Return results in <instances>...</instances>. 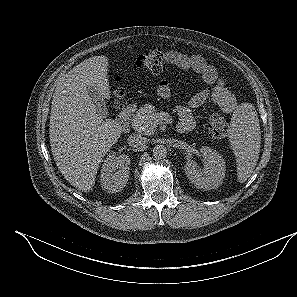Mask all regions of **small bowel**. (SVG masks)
Instances as JSON below:
<instances>
[{
	"mask_svg": "<svg viewBox=\"0 0 297 297\" xmlns=\"http://www.w3.org/2000/svg\"><path fill=\"white\" fill-rule=\"evenodd\" d=\"M168 60L181 72L193 71L200 75L207 87L197 92L187 104H181L177 108L180 118L178 130L188 132L194 127L192 110L202 106L206 101L211 100L218 105L225 113H233L237 109V101L233 94L226 87L224 80L219 76L216 68L208 63L201 55H187L175 50L165 52ZM158 94L163 98L171 96L170 85L163 80L158 85ZM188 128V131H184Z\"/></svg>",
	"mask_w": 297,
	"mask_h": 297,
	"instance_id": "c3829d8e",
	"label": "small bowel"
}]
</instances>
